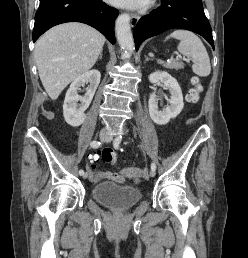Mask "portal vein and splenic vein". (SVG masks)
Returning <instances> with one entry per match:
<instances>
[{"instance_id": "portal-vein-and-splenic-vein-1", "label": "portal vein and splenic vein", "mask_w": 248, "mask_h": 258, "mask_svg": "<svg viewBox=\"0 0 248 258\" xmlns=\"http://www.w3.org/2000/svg\"><path fill=\"white\" fill-rule=\"evenodd\" d=\"M177 58L182 59V56L179 55V56H177ZM168 62H170V61L168 60Z\"/></svg>"}]
</instances>
